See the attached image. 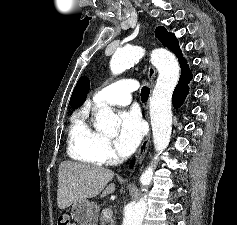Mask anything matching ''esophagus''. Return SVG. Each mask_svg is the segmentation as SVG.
Listing matches in <instances>:
<instances>
[{
  "label": "esophagus",
  "instance_id": "obj_1",
  "mask_svg": "<svg viewBox=\"0 0 237 225\" xmlns=\"http://www.w3.org/2000/svg\"><path fill=\"white\" fill-rule=\"evenodd\" d=\"M155 76H156L155 68L152 65H149L148 78H149V80L151 81L152 84L154 82ZM144 116H145V119L147 120V122H149L150 121L149 102H147L146 105L144 106ZM150 135H151V133H150V130H149L148 134L145 136V138L142 141V143L139 147V150L136 154V161H137L138 164H140L142 162V160L144 159V157H145V155L148 151L149 144H150Z\"/></svg>",
  "mask_w": 237,
  "mask_h": 225
}]
</instances>
